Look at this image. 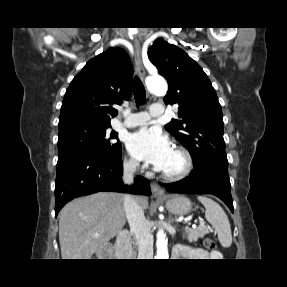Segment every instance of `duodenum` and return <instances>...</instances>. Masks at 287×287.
<instances>
[{"label": "duodenum", "instance_id": "1", "mask_svg": "<svg viewBox=\"0 0 287 287\" xmlns=\"http://www.w3.org/2000/svg\"><path fill=\"white\" fill-rule=\"evenodd\" d=\"M131 234L128 231H122L117 237L115 253L119 258L132 259L133 253L130 248Z\"/></svg>", "mask_w": 287, "mask_h": 287}]
</instances>
